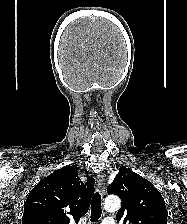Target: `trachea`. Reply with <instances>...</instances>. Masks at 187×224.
<instances>
[{
	"label": "trachea",
	"mask_w": 187,
	"mask_h": 224,
	"mask_svg": "<svg viewBox=\"0 0 187 224\" xmlns=\"http://www.w3.org/2000/svg\"><path fill=\"white\" fill-rule=\"evenodd\" d=\"M102 214L101 195L96 192L91 202V221H97Z\"/></svg>",
	"instance_id": "obj_1"
}]
</instances>
